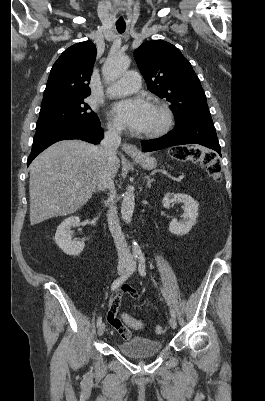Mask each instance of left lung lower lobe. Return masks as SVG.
Segmentation results:
<instances>
[{
    "label": "left lung lower lobe",
    "mask_w": 265,
    "mask_h": 401,
    "mask_svg": "<svg viewBox=\"0 0 265 401\" xmlns=\"http://www.w3.org/2000/svg\"><path fill=\"white\" fill-rule=\"evenodd\" d=\"M200 144L220 153V145L211 115H198L176 123L168 134L152 140H142L144 152L160 150L175 145Z\"/></svg>",
    "instance_id": "0a47b994"
}]
</instances>
